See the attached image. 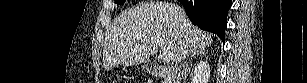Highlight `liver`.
<instances>
[{
    "mask_svg": "<svg viewBox=\"0 0 307 83\" xmlns=\"http://www.w3.org/2000/svg\"><path fill=\"white\" fill-rule=\"evenodd\" d=\"M157 40L175 62H179L184 41L192 49H205L213 42L210 33L195 27L186 15L182 16L179 6L145 3L122 12L114 19L104 42V67L109 69L118 64L134 66L149 62L159 50Z\"/></svg>",
    "mask_w": 307,
    "mask_h": 83,
    "instance_id": "liver-1",
    "label": "liver"
}]
</instances>
